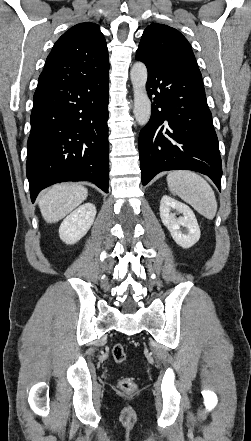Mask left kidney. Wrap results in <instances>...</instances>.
Returning a JSON list of instances; mask_svg holds the SVG:
<instances>
[{"label": "left kidney", "instance_id": "1", "mask_svg": "<svg viewBox=\"0 0 251 441\" xmlns=\"http://www.w3.org/2000/svg\"><path fill=\"white\" fill-rule=\"evenodd\" d=\"M171 210L183 214L176 218ZM160 217L169 230L173 240L182 248H190L200 239V228L194 212L186 204L167 195L161 198Z\"/></svg>", "mask_w": 251, "mask_h": 441}]
</instances>
